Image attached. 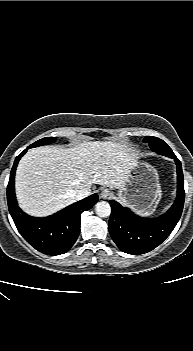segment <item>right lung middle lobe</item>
Wrapping results in <instances>:
<instances>
[{"mask_svg": "<svg viewBox=\"0 0 193 351\" xmlns=\"http://www.w3.org/2000/svg\"><path fill=\"white\" fill-rule=\"evenodd\" d=\"M54 140H55V138H53V137H45V138H42V139L36 141L35 143L31 144L28 148L43 146V145L51 143Z\"/></svg>", "mask_w": 193, "mask_h": 351, "instance_id": "obj_1", "label": "right lung middle lobe"}]
</instances>
